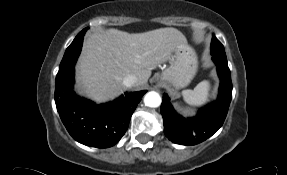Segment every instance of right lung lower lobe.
<instances>
[{"instance_id":"right-lung-lower-lobe-1","label":"right lung lower lobe","mask_w":287,"mask_h":175,"mask_svg":"<svg viewBox=\"0 0 287 175\" xmlns=\"http://www.w3.org/2000/svg\"><path fill=\"white\" fill-rule=\"evenodd\" d=\"M85 31L76 36L60 63L55 80V103L64 126L76 141L92 147L108 148L125 134L131 115L147 91L129 93L102 105L76 95L73 91L74 66Z\"/></svg>"}]
</instances>
